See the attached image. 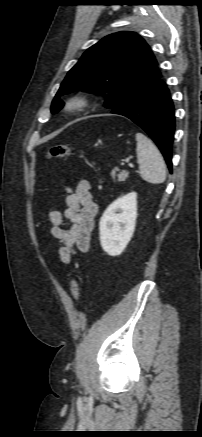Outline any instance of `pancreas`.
Segmentation results:
<instances>
[{
	"mask_svg": "<svg viewBox=\"0 0 202 437\" xmlns=\"http://www.w3.org/2000/svg\"><path fill=\"white\" fill-rule=\"evenodd\" d=\"M116 171H118V168H114L111 172V176H112L113 180L116 179V176L118 177L119 182H124L128 178L127 171H121L118 175H116Z\"/></svg>",
	"mask_w": 202,
	"mask_h": 437,
	"instance_id": "obj_1",
	"label": "pancreas"
}]
</instances>
